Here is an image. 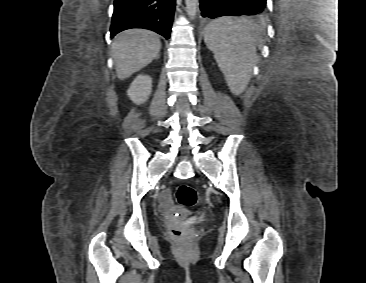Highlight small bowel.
<instances>
[{"instance_id": "1", "label": "small bowel", "mask_w": 366, "mask_h": 283, "mask_svg": "<svg viewBox=\"0 0 366 283\" xmlns=\"http://www.w3.org/2000/svg\"><path fill=\"white\" fill-rule=\"evenodd\" d=\"M160 203L163 208H168L171 205V197L169 190H163L160 194Z\"/></svg>"}]
</instances>
